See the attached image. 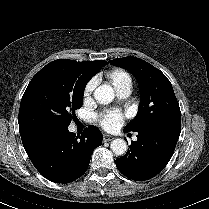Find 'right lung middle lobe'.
<instances>
[{"label":"right lung middle lobe","mask_w":209,"mask_h":209,"mask_svg":"<svg viewBox=\"0 0 209 209\" xmlns=\"http://www.w3.org/2000/svg\"><path fill=\"white\" fill-rule=\"evenodd\" d=\"M92 78L80 62L55 60L30 81L19 109V130L44 137L68 128L75 110L83 105L87 82Z\"/></svg>","instance_id":"obj_1"}]
</instances>
